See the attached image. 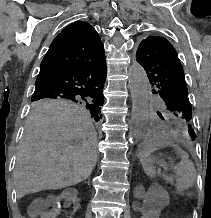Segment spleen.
I'll return each instance as SVG.
<instances>
[{
    "mask_svg": "<svg viewBox=\"0 0 211 218\" xmlns=\"http://www.w3.org/2000/svg\"><path fill=\"white\" fill-rule=\"evenodd\" d=\"M179 154L181 162L176 164V166H172L171 170H173L174 174L177 176V192H184V190L190 188L191 184H194L196 172L194 164L188 160V154H185V152H179ZM139 158L145 174L150 176V178H155L156 172L155 168H152L153 160L151 158V150L150 152H140ZM159 164L160 166H165V162H159Z\"/></svg>",
    "mask_w": 211,
    "mask_h": 218,
    "instance_id": "obj_1",
    "label": "spleen"
}]
</instances>
